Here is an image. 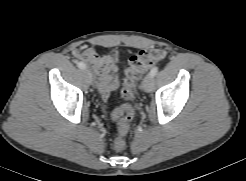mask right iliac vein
<instances>
[{
  "label": "right iliac vein",
  "mask_w": 246,
  "mask_h": 181,
  "mask_svg": "<svg viewBox=\"0 0 246 181\" xmlns=\"http://www.w3.org/2000/svg\"><path fill=\"white\" fill-rule=\"evenodd\" d=\"M84 74L86 75V77L88 78L89 82L91 83L92 79H93L92 73L88 69H85L84 70Z\"/></svg>",
  "instance_id": "1"
}]
</instances>
